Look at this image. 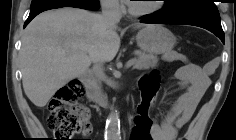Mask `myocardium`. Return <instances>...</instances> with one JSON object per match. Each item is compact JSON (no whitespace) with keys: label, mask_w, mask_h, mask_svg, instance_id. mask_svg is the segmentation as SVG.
I'll return each instance as SVG.
<instances>
[{"label":"myocardium","mask_w":236,"mask_h":140,"mask_svg":"<svg viewBox=\"0 0 236 140\" xmlns=\"http://www.w3.org/2000/svg\"><path fill=\"white\" fill-rule=\"evenodd\" d=\"M163 7L162 2L156 3L155 5H153L150 8H146V9H137L135 8L132 3H129L128 5V11L131 15L133 16H137V17H142V16H147L153 13H156L157 11H159L161 8Z\"/></svg>","instance_id":"obj_1"}]
</instances>
